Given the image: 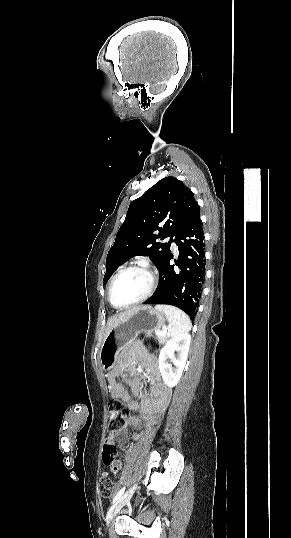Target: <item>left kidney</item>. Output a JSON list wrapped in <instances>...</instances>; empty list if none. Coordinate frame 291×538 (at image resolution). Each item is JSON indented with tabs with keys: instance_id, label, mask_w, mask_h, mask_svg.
Here are the masks:
<instances>
[{
	"instance_id": "5707ae66",
	"label": "left kidney",
	"mask_w": 291,
	"mask_h": 538,
	"mask_svg": "<svg viewBox=\"0 0 291 538\" xmlns=\"http://www.w3.org/2000/svg\"><path fill=\"white\" fill-rule=\"evenodd\" d=\"M190 341V334L184 333L168 340L160 351L159 369L163 381L168 387L177 385L182 376L187 361ZM175 351L177 352L176 356L174 354Z\"/></svg>"
}]
</instances>
